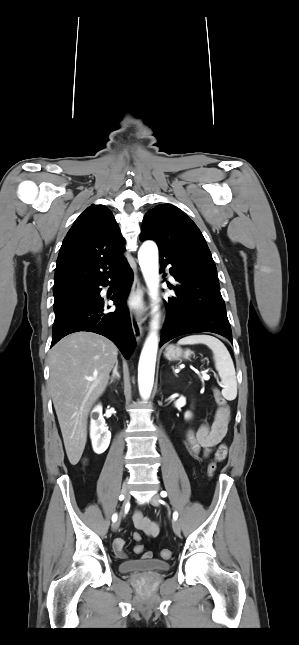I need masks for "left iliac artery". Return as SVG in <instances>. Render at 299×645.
<instances>
[{"label": "left iliac artery", "mask_w": 299, "mask_h": 645, "mask_svg": "<svg viewBox=\"0 0 299 645\" xmlns=\"http://www.w3.org/2000/svg\"><path fill=\"white\" fill-rule=\"evenodd\" d=\"M160 495H161L162 497H166V496H167V493H166L165 491H162V492L160 493ZM177 518H178V513H177V512H174V513H173V519H174V520H177Z\"/></svg>", "instance_id": "obj_1"}]
</instances>
